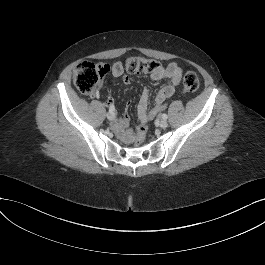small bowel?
Returning <instances> with one entry per match:
<instances>
[{
	"label": "small bowel",
	"mask_w": 265,
	"mask_h": 265,
	"mask_svg": "<svg viewBox=\"0 0 265 265\" xmlns=\"http://www.w3.org/2000/svg\"><path fill=\"white\" fill-rule=\"evenodd\" d=\"M97 68L100 72V87H103V78L107 74H111L112 77L116 79H121L125 84L130 83V78L125 74L123 65L120 61L114 62L112 65H108L105 63H98ZM183 70L182 68L176 64V63H169L166 66H160L156 71L151 73V78L154 81H160L163 79H169V83L163 86L157 93L155 97V103L156 105L162 104L166 99L170 98L174 95L176 92V89L178 88L181 77H182ZM150 97V92L148 88H144L139 100L138 104V112L141 117H143L146 113L148 101ZM92 99L99 98V92H93L91 94ZM106 105L110 108H112V111L115 110V104L111 97L110 91L108 95V99L106 101ZM129 123V115L127 112L124 113V115L120 118L115 119L114 118V127L118 130H123L127 127Z\"/></svg>",
	"instance_id": "obj_1"
}]
</instances>
